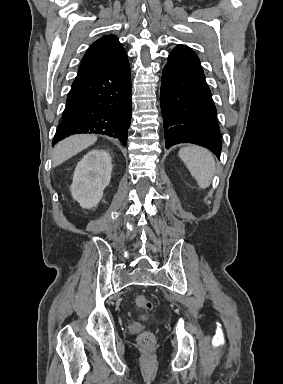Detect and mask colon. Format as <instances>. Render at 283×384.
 I'll return each mask as SVG.
<instances>
[{
    "instance_id": "colon-1",
    "label": "colon",
    "mask_w": 283,
    "mask_h": 384,
    "mask_svg": "<svg viewBox=\"0 0 283 384\" xmlns=\"http://www.w3.org/2000/svg\"><path fill=\"white\" fill-rule=\"evenodd\" d=\"M135 304L138 308L145 311H150L152 309L151 301L144 295H137L135 297ZM138 340L141 345L149 346L154 342V335L149 331H145L139 335Z\"/></svg>"
}]
</instances>
